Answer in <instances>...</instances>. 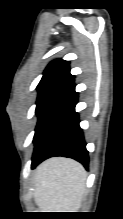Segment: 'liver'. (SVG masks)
I'll use <instances>...</instances> for the list:
<instances>
[{
	"mask_svg": "<svg viewBox=\"0 0 123 219\" xmlns=\"http://www.w3.org/2000/svg\"><path fill=\"white\" fill-rule=\"evenodd\" d=\"M86 171L70 158L53 157L34 174V200L43 212H77L85 195Z\"/></svg>",
	"mask_w": 123,
	"mask_h": 219,
	"instance_id": "6515ba94",
	"label": "liver"
}]
</instances>
